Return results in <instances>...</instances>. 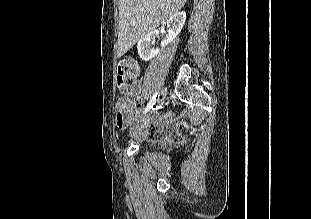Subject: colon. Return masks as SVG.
<instances>
[{
    "mask_svg": "<svg viewBox=\"0 0 311 219\" xmlns=\"http://www.w3.org/2000/svg\"><path fill=\"white\" fill-rule=\"evenodd\" d=\"M139 73V67L137 63L131 58H123L117 62V87L118 90L123 94V97L119 100L121 103H130L128 94L132 92L135 84V80ZM169 129L165 126L164 132H168ZM159 135H153V138H158ZM173 140L182 141L181 138L172 136Z\"/></svg>",
    "mask_w": 311,
    "mask_h": 219,
    "instance_id": "colon-1",
    "label": "colon"
}]
</instances>
